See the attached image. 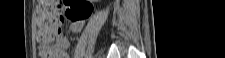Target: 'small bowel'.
<instances>
[{
    "instance_id": "small-bowel-1",
    "label": "small bowel",
    "mask_w": 225,
    "mask_h": 58,
    "mask_svg": "<svg viewBox=\"0 0 225 58\" xmlns=\"http://www.w3.org/2000/svg\"><path fill=\"white\" fill-rule=\"evenodd\" d=\"M82 26H83V20H81V21H72L70 23V25H69V30L72 33H77V32H79L82 29ZM58 46L61 47L62 51H63V54L59 58H69V55L66 52V50L69 49V47H70V44H69V41L67 40V38L61 37L56 42L54 47H58ZM39 49H40V51H43L45 49V47L44 46H40Z\"/></svg>"
}]
</instances>
